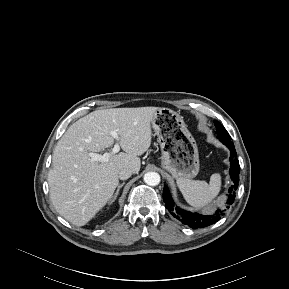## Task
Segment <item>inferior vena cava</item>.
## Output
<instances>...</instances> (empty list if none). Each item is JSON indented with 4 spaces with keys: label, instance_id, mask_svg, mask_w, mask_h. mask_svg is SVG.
Masks as SVG:
<instances>
[{
    "label": "inferior vena cava",
    "instance_id": "602c4592",
    "mask_svg": "<svg viewBox=\"0 0 289 289\" xmlns=\"http://www.w3.org/2000/svg\"><path fill=\"white\" fill-rule=\"evenodd\" d=\"M133 174V171L129 168L122 169L118 173V178L121 180H126L128 179L131 175Z\"/></svg>",
    "mask_w": 289,
    "mask_h": 289
}]
</instances>
